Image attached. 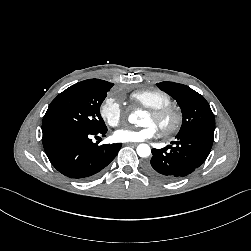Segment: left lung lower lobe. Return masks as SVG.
Instances as JSON below:
<instances>
[{
  "mask_svg": "<svg viewBox=\"0 0 251 251\" xmlns=\"http://www.w3.org/2000/svg\"><path fill=\"white\" fill-rule=\"evenodd\" d=\"M214 133L188 132L176 136L174 146L152 149L149 173L163 181H175L192 173L208 157Z\"/></svg>",
  "mask_w": 251,
  "mask_h": 251,
  "instance_id": "1",
  "label": "left lung lower lobe"
}]
</instances>
